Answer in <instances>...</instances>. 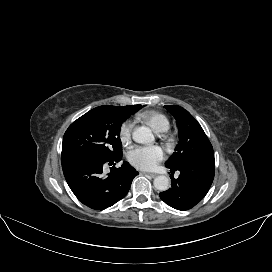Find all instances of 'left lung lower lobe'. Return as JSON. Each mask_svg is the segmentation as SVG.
<instances>
[{
    "label": "left lung lower lobe",
    "instance_id": "left-lung-lower-lobe-1",
    "mask_svg": "<svg viewBox=\"0 0 272 272\" xmlns=\"http://www.w3.org/2000/svg\"><path fill=\"white\" fill-rule=\"evenodd\" d=\"M180 171L177 179L171 177V188L160 193V198L178 210H188L207 194L215 173L214 154H207L170 168Z\"/></svg>",
    "mask_w": 272,
    "mask_h": 272
}]
</instances>
